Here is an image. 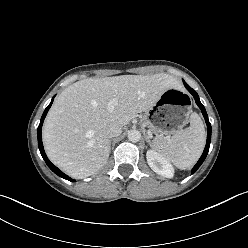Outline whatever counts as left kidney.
Segmentation results:
<instances>
[{
    "label": "left kidney",
    "mask_w": 248,
    "mask_h": 248,
    "mask_svg": "<svg viewBox=\"0 0 248 248\" xmlns=\"http://www.w3.org/2000/svg\"><path fill=\"white\" fill-rule=\"evenodd\" d=\"M146 158L150 168L157 174L172 178L174 175V169L169 161L156 150H148L146 153Z\"/></svg>",
    "instance_id": "1"
}]
</instances>
